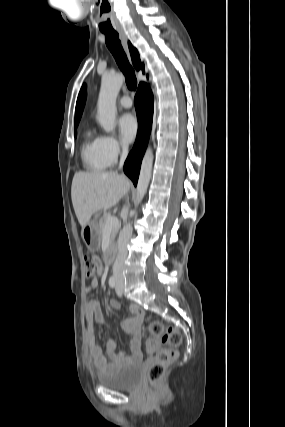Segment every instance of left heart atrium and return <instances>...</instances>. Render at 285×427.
<instances>
[{
  "label": "left heart atrium",
  "instance_id": "obj_1",
  "mask_svg": "<svg viewBox=\"0 0 285 427\" xmlns=\"http://www.w3.org/2000/svg\"><path fill=\"white\" fill-rule=\"evenodd\" d=\"M122 139L126 143L134 140L138 132V123L136 118L129 113L121 116L118 122Z\"/></svg>",
  "mask_w": 285,
  "mask_h": 427
}]
</instances>
